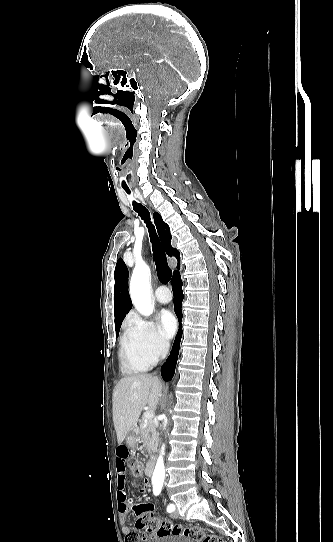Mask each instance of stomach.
Returning a JSON list of instances; mask_svg holds the SVG:
<instances>
[{
	"instance_id": "1",
	"label": "stomach",
	"mask_w": 333,
	"mask_h": 542,
	"mask_svg": "<svg viewBox=\"0 0 333 542\" xmlns=\"http://www.w3.org/2000/svg\"><path fill=\"white\" fill-rule=\"evenodd\" d=\"M138 442H139V432L137 428H132V430H130V432H128L126 436V444L127 446H129V448H132V450H134V448L138 446Z\"/></svg>"
}]
</instances>
